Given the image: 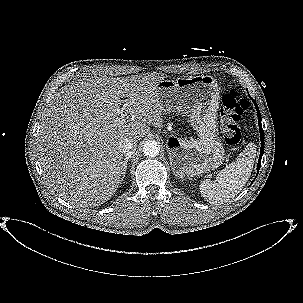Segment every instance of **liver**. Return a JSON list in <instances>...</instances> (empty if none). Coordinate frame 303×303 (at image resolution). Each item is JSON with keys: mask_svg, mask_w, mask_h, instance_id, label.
Segmentation results:
<instances>
[{"mask_svg": "<svg viewBox=\"0 0 303 303\" xmlns=\"http://www.w3.org/2000/svg\"><path fill=\"white\" fill-rule=\"evenodd\" d=\"M165 77L94 74L55 94L42 117L37 149L46 181L63 200L85 208L112 197L124 171L122 140L136 143L150 125L163 127L165 111L156 89ZM123 111L135 120L126 123Z\"/></svg>", "mask_w": 303, "mask_h": 303, "instance_id": "6515ba94", "label": "liver"}]
</instances>
